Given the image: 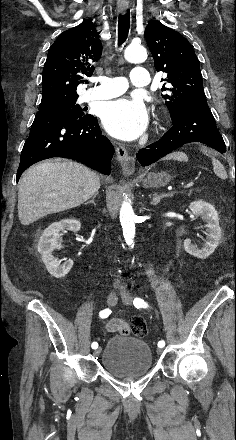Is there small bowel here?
Instances as JSON below:
<instances>
[{
	"instance_id": "small-bowel-1",
	"label": "small bowel",
	"mask_w": 236,
	"mask_h": 440,
	"mask_svg": "<svg viewBox=\"0 0 236 440\" xmlns=\"http://www.w3.org/2000/svg\"><path fill=\"white\" fill-rule=\"evenodd\" d=\"M130 329V322L114 318L108 321L107 331L111 333H118L119 339H128Z\"/></svg>"
}]
</instances>
